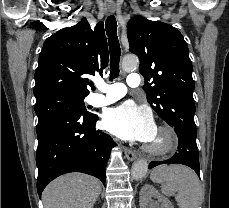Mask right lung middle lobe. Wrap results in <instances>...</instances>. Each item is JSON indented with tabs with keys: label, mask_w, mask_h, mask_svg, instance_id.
Wrapping results in <instances>:
<instances>
[{
	"label": "right lung middle lobe",
	"mask_w": 229,
	"mask_h": 208,
	"mask_svg": "<svg viewBox=\"0 0 229 208\" xmlns=\"http://www.w3.org/2000/svg\"><path fill=\"white\" fill-rule=\"evenodd\" d=\"M83 98L77 96H51L37 101L35 104V112L38 116L37 129L65 113L88 114L82 103Z\"/></svg>",
	"instance_id": "obj_1"
}]
</instances>
